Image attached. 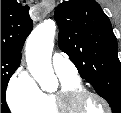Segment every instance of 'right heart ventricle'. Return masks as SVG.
Listing matches in <instances>:
<instances>
[{"instance_id": "1", "label": "right heart ventricle", "mask_w": 121, "mask_h": 113, "mask_svg": "<svg viewBox=\"0 0 121 113\" xmlns=\"http://www.w3.org/2000/svg\"><path fill=\"white\" fill-rule=\"evenodd\" d=\"M61 89L82 88L77 77H67L58 75ZM60 110L56 104L55 94L49 92H41L38 103L29 110H24L21 113H59Z\"/></svg>"}]
</instances>
